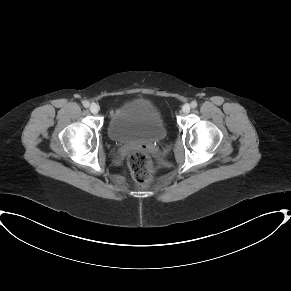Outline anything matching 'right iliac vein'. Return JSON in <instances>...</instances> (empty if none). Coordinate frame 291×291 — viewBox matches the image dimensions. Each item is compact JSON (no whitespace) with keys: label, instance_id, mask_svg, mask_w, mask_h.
Segmentation results:
<instances>
[{"label":"right iliac vein","instance_id":"1","mask_svg":"<svg viewBox=\"0 0 291 291\" xmlns=\"http://www.w3.org/2000/svg\"><path fill=\"white\" fill-rule=\"evenodd\" d=\"M89 109H90L91 113H93V114H97L100 111L99 105H97L95 103H92L90 105V108Z\"/></svg>","mask_w":291,"mask_h":291}]
</instances>
